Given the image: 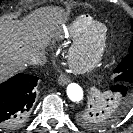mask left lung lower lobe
Here are the masks:
<instances>
[{
  "label": "left lung lower lobe",
  "instance_id": "1",
  "mask_svg": "<svg viewBox=\"0 0 133 133\" xmlns=\"http://www.w3.org/2000/svg\"><path fill=\"white\" fill-rule=\"evenodd\" d=\"M110 89L113 92L121 93L123 97H125L127 94V87L123 84L112 86ZM111 100H113V99H111ZM115 103H116L117 107H124L126 109V104H127L126 102L122 103V102L117 101ZM125 109H124V111H125Z\"/></svg>",
  "mask_w": 133,
  "mask_h": 133
}]
</instances>
